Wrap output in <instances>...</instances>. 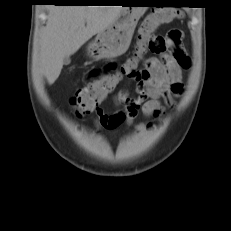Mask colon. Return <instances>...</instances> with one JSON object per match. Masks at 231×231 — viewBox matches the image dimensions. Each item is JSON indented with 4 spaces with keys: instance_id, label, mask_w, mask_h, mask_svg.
Returning a JSON list of instances; mask_svg holds the SVG:
<instances>
[{
    "instance_id": "5ec220e1",
    "label": "colon",
    "mask_w": 231,
    "mask_h": 231,
    "mask_svg": "<svg viewBox=\"0 0 231 231\" xmlns=\"http://www.w3.org/2000/svg\"><path fill=\"white\" fill-rule=\"evenodd\" d=\"M182 17L176 8H157L151 11L140 23L134 55L110 74L102 75L79 89L71 99L78 116L98 109L99 104L112 93L122 78L141 80L144 77L140 59L148 52L162 53L167 49L164 37L155 34L163 24Z\"/></svg>"
}]
</instances>
